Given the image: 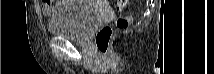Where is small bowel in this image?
<instances>
[{
	"label": "small bowel",
	"mask_w": 214,
	"mask_h": 74,
	"mask_svg": "<svg viewBox=\"0 0 214 74\" xmlns=\"http://www.w3.org/2000/svg\"><path fill=\"white\" fill-rule=\"evenodd\" d=\"M98 3H102L101 1H97ZM71 5L69 1H59L56 2L55 6L53 7L49 2H44L42 4L41 10L42 13L46 16L53 15L56 9L64 8Z\"/></svg>",
	"instance_id": "small-bowel-1"
}]
</instances>
